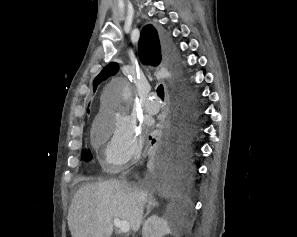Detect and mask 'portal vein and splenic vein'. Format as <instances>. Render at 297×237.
<instances>
[{"mask_svg": "<svg viewBox=\"0 0 297 237\" xmlns=\"http://www.w3.org/2000/svg\"><path fill=\"white\" fill-rule=\"evenodd\" d=\"M113 223L123 233H127L130 230V224H129L128 221H124V220H120L118 218H114Z\"/></svg>", "mask_w": 297, "mask_h": 237, "instance_id": "18ae733b", "label": "portal vein and splenic vein"}]
</instances>
